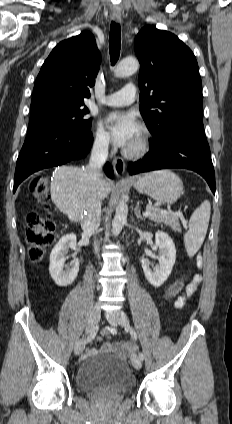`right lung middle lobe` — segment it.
Returning a JSON list of instances; mask_svg holds the SVG:
<instances>
[{"label": "right lung middle lobe", "instance_id": "right-lung-middle-lobe-1", "mask_svg": "<svg viewBox=\"0 0 232 424\" xmlns=\"http://www.w3.org/2000/svg\"><path fill=\"white\" fill-rule=\"evenodd\" d=\"M88 113L89 109L83 105L49 103L34 107L31 108L28 131L39 128L89 131L92 120L85 117Z\"/></svg>", "mask_w": 232, "mask_h": 424}]
</instances>
